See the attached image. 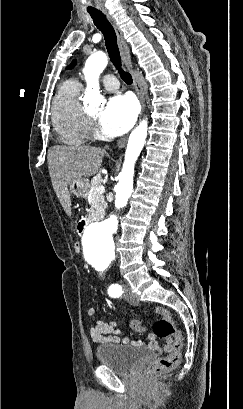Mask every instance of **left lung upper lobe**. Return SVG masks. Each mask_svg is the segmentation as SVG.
Returning a JSON list of instances; mask_svg holds the SVG:
<instances>
[{
  "label": "left lung upper lobe",
  "mask_w": 243,
  "mask_h": 409,
  "mask_svg": "<svg viewBox=\"0 0 243 409\" xmlns=\"http://www.w3.org/2000/svg\"><path fill=\"white\" fill-rule=\"evenodd\" d=\"M75 65V60L72 62V64L70 66H68V68H73Z\"/></svg>",
  "instance_id": "obj_1"
}]
</instances>
